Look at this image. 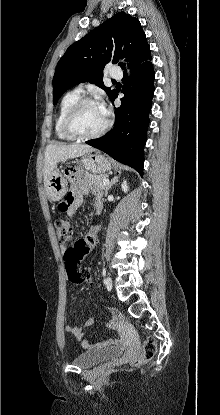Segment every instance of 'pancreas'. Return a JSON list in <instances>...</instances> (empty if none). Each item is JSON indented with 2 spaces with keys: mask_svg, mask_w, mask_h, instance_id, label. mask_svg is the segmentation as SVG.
Returning a JSON list of instances; mask_svg holds the SVG:
<instances>
[{
  "mask_svg": "<svg viewBox=\"0 0 220 415\" xmlns=\"http://www.w3.org/2000/svg\"><path fill=\"white\" fill-rule=\"evenodd\" d=\"M106 178V175L85 174L86 181L91 185V188L94 190L107 189V186L103 185V180Z\"/></svg>",
  "mask_w": 220,
  "mask_h": 415,
  "instance_id": "obj_1",
  "label": "pancreas"
}]
</instances>
